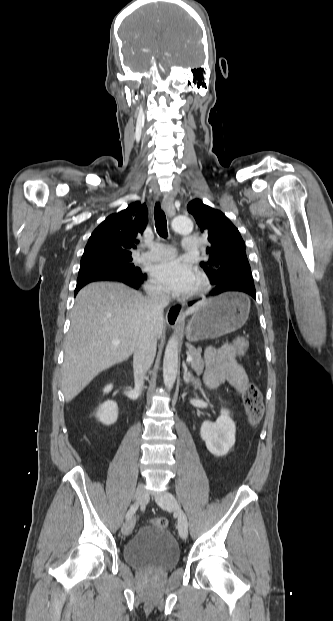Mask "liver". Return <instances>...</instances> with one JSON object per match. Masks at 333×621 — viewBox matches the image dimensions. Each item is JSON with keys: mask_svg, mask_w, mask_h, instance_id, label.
Here are the masks:
<instances>
[{"mask_svg": "<svg viewBox=\"0 0 333 621\" xmlns=\"http://www.w3.org/2000/svg\"><path fill=\"white\" fill-rule=\"evenodd\" d=\"M203 304L204 301L194 304L186 310V315L193 314ZM146 324V301L139 292L109 282L91 283L82 288L75 299L64 344L65 401L75 398L103 370L127 360ZM154 326L160 337L164 319Z\"/></svg>", "mask_w": 333, "mask_h": 621, "instance_id": "6515ba94", "label": "liver"}]
</instances>
